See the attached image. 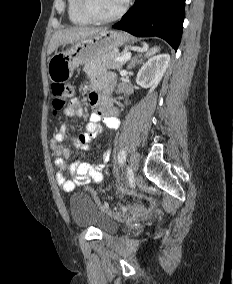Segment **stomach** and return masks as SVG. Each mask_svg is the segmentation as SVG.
I'll use <instances>...</instances> for the list:
<instances>
[{
	"label": "stomach",
	"mask_w": 233,
	"mask_h": 284,
	"mask_svg": "<svg viewBox=\"0 0 233 284\" xmlns=\"http://www.w3.org/2000/svg\"><path fill=\"white\" fill-rule=\"evenodd\" d=\"M130 41V37L119 31L104 29L92 37L82 39L70 49L55 53L48 60V76L53 83H65L74 70L111 52Z\"/></svg>",
	"instance_id": "obj_1"
}]
</instances>
